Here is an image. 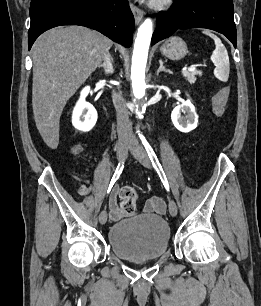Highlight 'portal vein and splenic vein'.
I'll return each mask as SVG.
<instances>
[{
    "instance_id": "1",
    "label": "portal vein and splenic vein",
    "mask_w": 261,
    "mask_h": 306,
    "mask_svg": "<svg viewBox=\"0 0 261 306\" xmlns=\"http://www.w3.org/2000/svg\"><path fill=\"white\" fill-rule=\"evenodd\" d=\"M195 70H196V66H191V67L188 68L187 71L192 72V71H195Z\"/></svg>"
}]
</instances>
